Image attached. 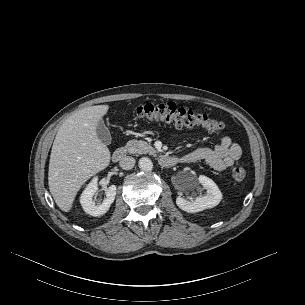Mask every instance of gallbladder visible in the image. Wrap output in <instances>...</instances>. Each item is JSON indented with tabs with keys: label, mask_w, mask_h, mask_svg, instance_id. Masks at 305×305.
Returning a JSON list of instances; mask_svg holds the SVG:
<instances>
[{
	"label": "gallbladder",
	"mask_w": 305,
	"mask_h": 305,
	"mask_svg": "<svg viewBox=\"0 0 305 305\" xmlns=\"http://www.w3.org/2000/svg\"><path fill=\"white\" fill-rule=\"evenodd\" d=\"M96 132L98 138L103 144L105 145L111 144L112 141L111 134L108 128L106 127V125L104 124L103 120L99 121Z\"/></svg>",
	"instance_id": "gallbladder-1"
}]
</instances>
